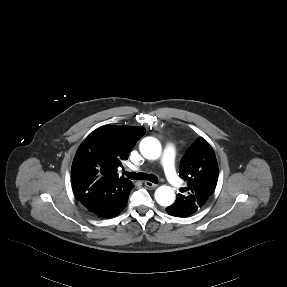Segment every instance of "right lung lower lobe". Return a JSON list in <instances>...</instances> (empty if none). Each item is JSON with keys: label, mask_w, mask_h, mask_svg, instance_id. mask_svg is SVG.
<instances>
[{"label": "right lung lower lobe", "mask_w": 287, "mask_h": 287, "mask_svg": "<svg viewBox=\"0 0 287 287\" xmlns=\"http://www.w3.org/2000/svg\"><path fill=\"white\" fill-rule=\"evenodd\" d=\"M132 182L121 180L111 182H95L80 202L92 214L111 218L117 216L126 206Z\"/></svg>", "instance_id": "98d812e1"}]
</instances>
